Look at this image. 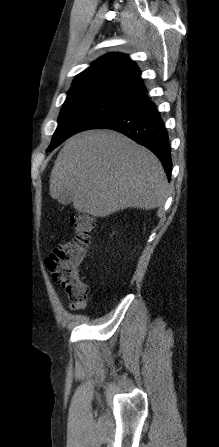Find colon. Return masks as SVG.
<instances>
[{
	"instance_id": "colon-1",
	"label": "colon",
	"mask_w": 219,
	"mask_h": 447,
	"mask_svg": "<svg viewBox=\"0 0 219 447\" xmlns=\"http://www.w3.org/2000/svg\"><path fill=\"white\" fill-rule=\"evenodd\" d=\"M70 225L75 234L60 243L47 259V267L53 280L66 291L71 302H85L87 286L81 281L79 270L90 243L95 221L83 213L70 216Z\"/></svg>"
}]
</instances>
